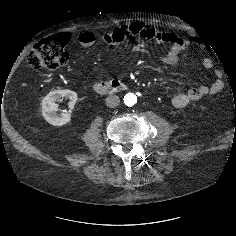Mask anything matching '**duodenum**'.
<instances>
[{"mask_svg": "<svg viewBox=\"0 0 236 236\" xmlns=\"http://www.w3.org/2000/svg\"><path fill=\"white\" fill-rule=\"evenodd\" d=\"M126 88L127 85L124 82L118 80L99 81L94 85V90L98 94H113L124 91Z\"/></svg>", "mask_w": 236, "mask_h": 236, "instance_id": "410a0bca", "label": "duodenum"}]
</instances>
